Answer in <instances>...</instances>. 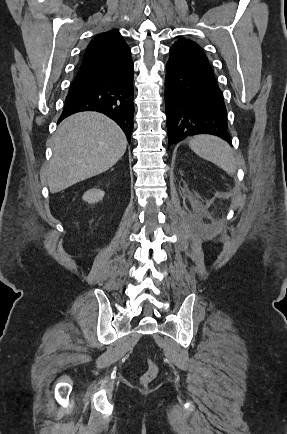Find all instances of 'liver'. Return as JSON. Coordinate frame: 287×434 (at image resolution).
<instances>
[{
	"instance_id": "1",
	"label": "liver",
	"mask_w": 287,
	"mask_h": 434,
	"mask_svg": "<svg viewBox=\"0 0 287 434\" xmlns=\"http://www.w3.org/2000/svg\"><path fill=\"white\" fill-rule=\"evenodd\" d=\"M127 139L121 128L98 112L66 118L53 138V156L46 170L51 193L99 175L124 155Z\"/></svg>"
}]
</instances>
